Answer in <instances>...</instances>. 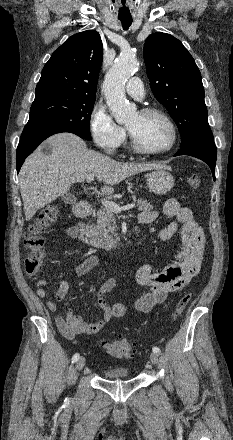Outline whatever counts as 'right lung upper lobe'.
<instances>
[{"label":"right lung upper lobe","mask_w":233,"mask_h":440,"mask_svg":"<svg viewBox=\"0 0 233 440\" xmlns=\"http://www.w3.org/2000/svg\"><path fill=\"white\" fill-rule=\"evenodd\" d=\"M102 58L98 32L87 30L72 35L45 64L33 103L57 97L96 98Z\"/></svg>","instance_id":"cb5924a9"}]
</instances>
